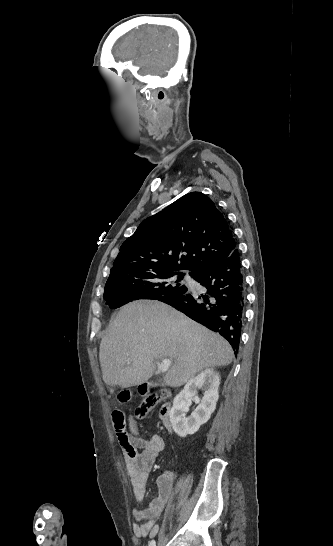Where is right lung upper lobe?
Listing matches in <instances>:
<instances>
[{"instance_id": "right-lung-upper-lobe-1", "label": "right lung upper lobe", "mask_w": 333, "mask_h": 546, "mask_svg": "<svg viewBox=\"0 0 333 546\" xmlns=\"http://www.w3.org/2000/svg\"><path fill=\"white\" fill-rule=\"evenodd\" d=\"M236 249L223 214L201 192L188 193L144 220L120 247L113 268L189 270L190 276Z\"/></svg>"}]
</instances>
